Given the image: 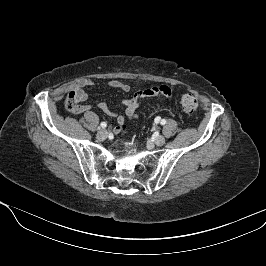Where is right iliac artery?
Masks as SVG:
<instances>
[{
    "mask_svg": "<svg viewBox=\"0 0 266 266\" xmlns=\"http://www.w3.org/2000/svg\"><path fill=\"white\" fill-rule=\"evenodd\" d=\"M100 126H101L102 128H105V127L107 126V123H106V122H101Z\"/></svg>",
    "mask_w": 266,
    "mask_h": 266,
    "instance_id": "right-iliac-artery-1",
    "label": "right iliac artery"
}]
</instances>
